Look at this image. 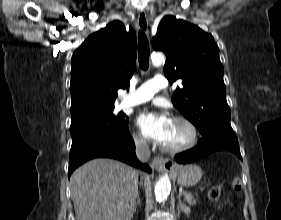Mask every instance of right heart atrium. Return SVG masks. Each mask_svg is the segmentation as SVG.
<instances>
[{"mask_svg":"<svg viewBox=\"0 0 281 220\" xmlns=\"http://www.w3.org/2000/svg\"><path fill=\"white\" fill-rule=\"evenodd\" d=\"M133 141L136 147L140 149H147L149 146L148 141L140 132H135L133 134Z\"/></svg>","mask_w":281,"mask_h":220,"instance_id":"1","label":"right heart atrium"}]
</instances>
